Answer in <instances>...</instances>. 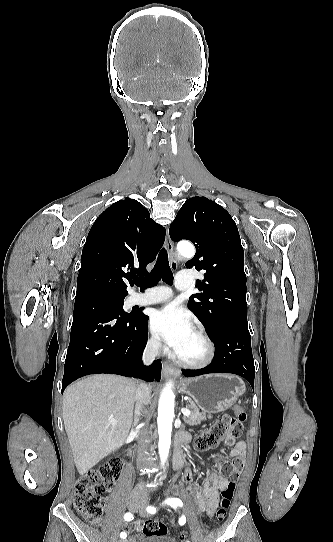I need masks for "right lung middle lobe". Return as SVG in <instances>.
Masks as SVG:
<instances>
[{
  "mask_svg": "<svg viewBox=\"0 0 333 542\" xmlns=\"http://www.w3.org/2000/svg\"><path fill=\"white\" fill-rule=\"evenodd\" d=\"M99 296V298L105 300L107 304H110L112 307L115 308L116 311H118L120 314L124 316L133 315L134 313H125L123 310V304H124V298L126 295H118L114 293L109 292H96L91 293Z\"/></svg>",
  "mask_w": 333,
  "mask_h": 542,
  "instance_id": "dd1d6c3e",
  "label": "right lung middle lobe"
}]
</instances>
